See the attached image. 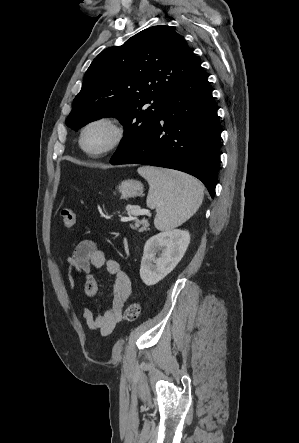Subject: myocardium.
I'll return each mask as SVG.
<instances>
[{"mask_svg":"<svg viewBox=\"0 0 299 443\" xmlns=\"http://www.w3.org/2000/svg\"><path fill=\"white\" fill-rule=\"evenodd\" d=\"M105 124L108 125L113 130V139L111 142L103 149L98 151L89 150L85 146V136L90 128L95 125ZM127 137V126L126 124L117 117L114 116H100L90 120L81 130L79 145L84 153L93 158H99L106 156L115 150H117L125 141Z\"/></svg>","mask_w":299,"mask_h":443,"instance_id":"myocardium-1","label":"myocardium"}]
</instances>
